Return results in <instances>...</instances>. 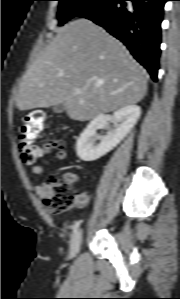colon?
Wrapping results in <instances>:
<instances>
[{
    "label": "colon",
    "mask_w": 180,
    "mask_h": 299,
    "mask_svg": "<svg viewBox=\"0 0 180 299\" xmlns=\"http://www.w3.org/2000/svg\"><path fill=\"white\" fill-rule=\"evenodd\" d=\"M46 114L42 110H31L22 120L19 128L18 148L24 163L34 164L50 147H62V142L57 140L41 147L36 143L38 136L46 127ZM76 193L64 179L53 178L48 183V192L43 202L51 212H63L74 206Z\"/></svg>",
    "instance_id": "obj_1"
}]
</instances>
